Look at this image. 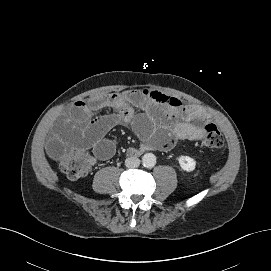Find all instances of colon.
Segmentation results:
<instances>
[{"mask_svg":"<svg viewBox=\"0 0 271 271\" xmlns=\"http://www.w3.org/2000/svg\"><path fill=\"white\" fill-rule=\"evenodd\" d=\"M202 127L204 131L203 145L210 149L220 148L224 143V139L218 128L208 122H204ZM90 166V157L79 149L69 152L60 160L62 172L70 179H78L86 176L90 171Z\"/></svg>","mask_w":271,"mask_h":271,"instance_id":"obj_1","label":"colon"}]
</instances>
